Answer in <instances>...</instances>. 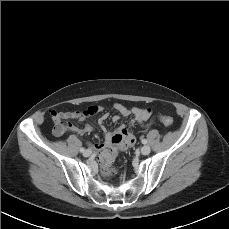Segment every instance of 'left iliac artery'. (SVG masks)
Returning a JSON list of instances; mask_svg holds the SVG:
<instances>
[{
	"instance_id": "obj_1",
	"label": "left iliac artery",
	"mask_w": 229,
	"mask_h": 229,
	"mask_svg": "<svg viewBox=\"0 0 229 229\" xmlns=\"http://www.w3.org/2000/svg\"><path fill=\"white\" fill-rule=\"evenodd\" d=\"M141 142H142L143 144H146V143H147V140L143 138Z\"/></svg>"
}]
</instances>
